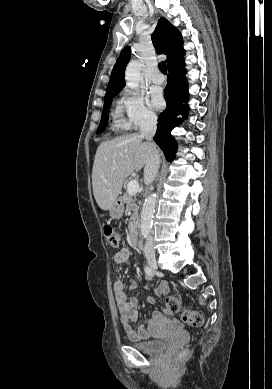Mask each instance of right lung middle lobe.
Returning <instances> with one entry per match:
<instances>
[{
    "instance_id": "dd1d6c3e",
    "label": "right lung middle lobe",
    "mask_w": 272,
    "mask_h": 389,
    "mask_svg": "<svg viewBox=\"0 0 272 389\" xmlns=\"http://www.w3.org/2000/svg\"><path fill=\"white\" fill-rule=\"evenodd\" d=\"M115 94L116 93H112V94H110V95L105 97L102 117H101V121H100L98 130H97V134L103 132L104 129H105V126L107 125V122H108V111H109V108L111 106V99H112V97Z\"/></svg>"
}]
</instances>
